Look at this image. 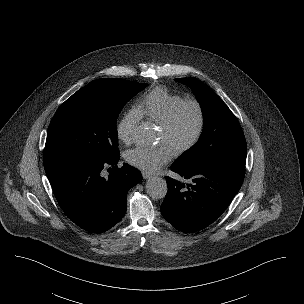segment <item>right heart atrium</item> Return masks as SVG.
I'll list each match as a JSON object with an SVG mask.
<instances>
[{"instance_id":"right-heart-atrium-1","label":"right heart atrium","mask_w":304,"mask_h":304,"mask_svg":"<svg viewBox=\"0 0 304 304\" xmlns=\"http://www.w3.org/2000/svg\"><path fill=\"white\" fill-rule=\"evenodd\" d=\"M141 116L135 108L126 111L119 119L116 132L118 138L125 144H130L133 139V133L137 127Z\"/></svg>"}]
</instances>
